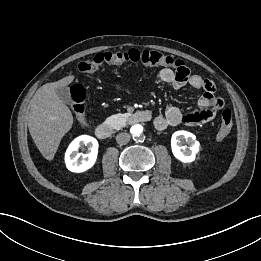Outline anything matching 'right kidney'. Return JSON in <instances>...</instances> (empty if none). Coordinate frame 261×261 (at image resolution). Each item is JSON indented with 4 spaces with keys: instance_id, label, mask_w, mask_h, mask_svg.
I'll use <instances>...</instances> for the list:
<instances>
[{
    "instance_id": "right-kidney-1",
    "label": "right kidney",
    "mask_w": 261,
    "mask_h": 261,
    "mask_svg": "<svg viewBox=\"0 0 261 261\" xmlns=\"http://www.w3.org/2000/svg\"><path fill=\"white\" fill-rule=\"evenodd\" d=\"M88 147L87 154L78 153L80 147ZM98 154V141L91 136L81 135L75 138L65 153V163L68 170L81 173L90 169L96 162Z\"/></svg>"
}]
</instances>
